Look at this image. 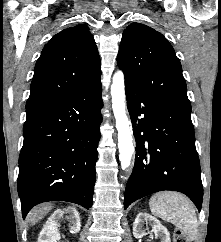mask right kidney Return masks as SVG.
<instances>
[{
	"label": "right kidney",
	"instance_id": "ca27d5eb",
	"mask_svg": "<svg viewBox=\"0 0 221 242\" xmlns=\"http://www.w3.org/2000/svg\"><path fill=\"white\" fill-rule=\"evenodd\" d=\"M65 214H68L67 219L71 223L70 232L77 233L80 231L81 223L78 211L74 207L58 209L46 221L39 234L38 242H57L60 239L58 227Z\"/></svg>",
	"mask_w": 221,
	"mask_h": 242
}]
</instances>
